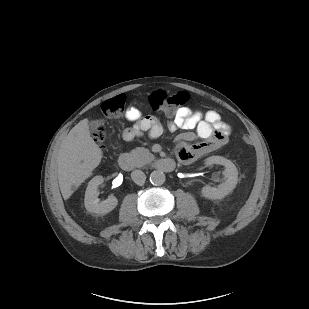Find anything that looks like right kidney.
I'll use <instances>...</instances> for the list:
<instances>
[{
	"instance_id": "1",
	"label": "right kidney",
	"mask_w": 309,
	"mask_h": 309,
	"mask_svg": "<svg viewBox=\"0 0 309 309\" xmlns=\"http://www.w3.org/2000/svg\"><path fill=\"white\" fill-rule=\"evenodd\" d=\"M103 182L104 178L102 176H95L88 183L85 192L84 205L87 211L91 213L105 215L111 212L118 205V200L113 195H110L106 200H99L97 188Z\"/></svg>"
}]
</instances>
